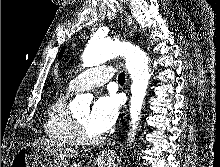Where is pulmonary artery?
Segmentation results:
<instances>
[{"mask_svg": "<svg viewBox=\"0 0 220 167\" xmlns=\"http://www.w3.org/2000/svg\"><path fill=\"white\" fill-rule=\"evenodd\" d=\"M113 76V70L110 66H99L90 68L77 74L69 84V90L80 91L106 84Z\"/></svg>", "mask_w": 220, "mask_h": 167, "instance_id": "1", "label": "pulmonary artery"}]
</instances>
